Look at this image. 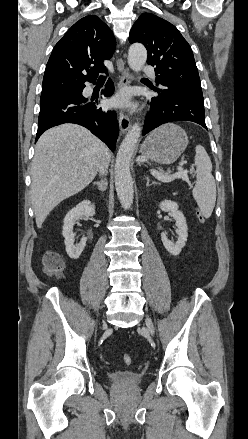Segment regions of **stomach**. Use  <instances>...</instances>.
<instances>
[{"label": "stomach", "mask_w": 248, "mask_h": 439, "mask_svg": "<svg viewBox=\"0 0 248 439\" xmlns=\"http://www.w3.org/2000/svg\"><path fill=\"white\" fill-rule=\"evenodd\" d=\"M188 145L186 132L176 124L168 123L151 132L140 147V153L159 163H174Z\"/></svg>", "instance_id": "stomach-1"}]
</instances>
